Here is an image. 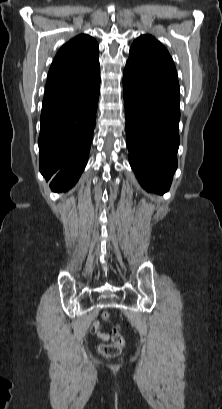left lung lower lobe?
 Returning <instances> with one entry per match:
<instances>
[{
  "label": "left lung lower lobe",
  "instance_id": "obj_1",
  "mask_svg": "<svg viewBox=\"0 0 222 409\" xmlns=\"http://www.w3.org/2000/svg\"><path fill=\"white\" fill-rule=\"evenodd\" d=\"M129 162L147 191L166 192L177 168L180 97L123 77Z\"/></svg>",
  "mask_w": 222,
  "mask_h": 409
}]
</instances>
